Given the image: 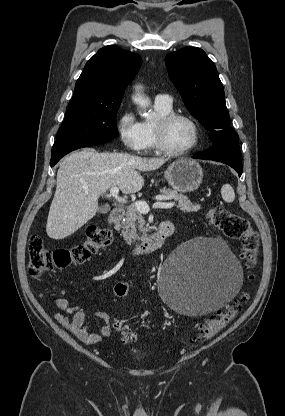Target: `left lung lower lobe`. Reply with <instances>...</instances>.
<instances>
[{"label": "left lung lower lobe", "mask_w": 285, "mask_h": 416, "mask_svg": "<svg viewBox=\"0 0 285 416\" xmlns=\"http://www.w3.org/2000/svg\"><path fill=\"white\" fill-rule=\"evenodd\" d=\"M195 159H205L222 162L235 169L239 176L243 172L238 141L219 143L193 156Z\"/></svg>", "instance_id": "obj_1"}]
</instances>
